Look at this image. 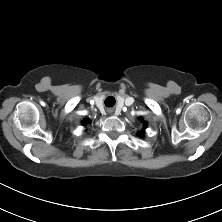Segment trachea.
Listing matches in <instances>:
<instances>
[{
    "mask_svg": "<svg viewBox=\"0 0 222 222\" xmlns=\"http://www.w3.org/2000/svg\"><path fill=\"white\" fill-rule=\"evenodd\" d=\"M108 103H112V105L115 104V99L113 97H107L105 99V104L107 105Z\"/></svg>",
    "mask_w": 222,
    "mask_h": 222,
    "instance_id": "trachea-1",
    "label": "trachea"
}]
</instances>
